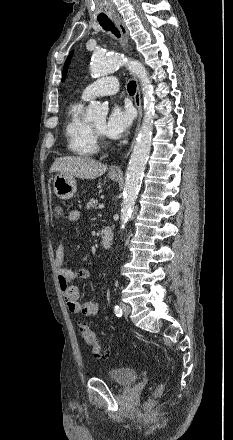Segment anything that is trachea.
Returning a JSON list of instances; mask_svg holds the SVG:
<instances>
[{"label":"trachea","mask_w":233,"mask_h":440,"mask_svg":"<svg viewBox=\"0 0 233 440\" xmlns=\"http://www.w3.org/2000/svg\"><path fill=\"white\" fill-rule=\"evenodd\" d=\"M100 25L106 30L111 31L114 35L117 37H120V33L118 29L114 26L112 21L110 19L104 18V19H98ZM129 94H135L136 92V82L130 81L127 86Z\"/></svg>","instance_id":"obj_1"}]
</instances>
